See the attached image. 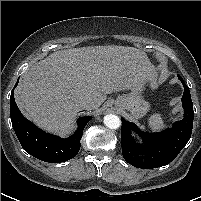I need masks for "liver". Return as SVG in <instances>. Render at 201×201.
<instances>
[{
    "instance_id": "1",
    "label": "liver",
    "mask_w": 201,
    "mask_h": 201,
    "mask_svg": "<svg viewBox=\"0 0 201 201\" xmlns=\"http://www.w3.org/2000/svg\"><path fill=\"white\" fill-rule=\"evenodd\" d=\"M153 76L147 54L134 47L60 50L27 69L16 90V101L37 126L62 133L80 111L79 102L91 101L97 109L107 94L129 89L136 78Z\"/></svg>"
}]
</instances>
